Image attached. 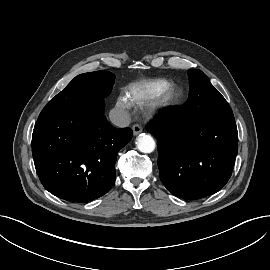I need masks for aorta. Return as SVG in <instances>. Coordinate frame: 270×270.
I'll use <instances>...</instances> for the list:
<instances>
[{
	"label": "aorta",
	"instance_id": "1",
	"mask_svg": "<svg viewBox=\"0 0 270 270\" xmlns=\"http://www.w3.org/2000/svg\"><path fill=\"white\" fill-rule=\"evenodd\" d=\"M136 146L142 153H151L155 149V141L151 135L142 133L136 140Z\"/></svg>",
	"mask_w": 270,
	"mask_h": 270
}]
</instances>
